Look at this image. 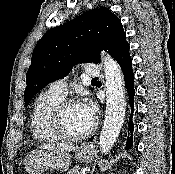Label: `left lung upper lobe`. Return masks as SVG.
I'll return each mask as SVG.
<instances>
[{
    "label": "left lung upper lobe",
    "instance_id": "5c2ea615",
    "mask_svg": "<svg viewBox=\"0 0 175 174\" xmlns=\"http://www.w3.org/2000/svg\"><path fill=\"white\" fill-rule=\"evenodd\" d=\"M127 45L120 19L106 7L92 9L49 30L32 54L26 75L25 105L44 86L67 76L75 64L98 63L102 49L116 59Z\"/></svg>",
    "mask_w": 175,
    "mask_h": 174
}]
</instances>
